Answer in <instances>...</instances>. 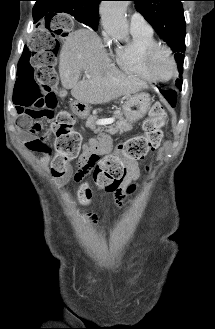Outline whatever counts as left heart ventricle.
<instances>
[{"mask_svg":"<svg viewBox=\"0 0 215 329\" xmlns=\"http://www.w3.org/2000/svg\"><path fill=\"white\" fill-rule=\"evenodd\" d=\"M153 67L157 76L161 78H167L173 71V65L169 58V55L165 51H160L156 54Z\"/></svg>","mask_w":215,"mask_h":329,"instance_id":"obj_1","label":"left heart ventricle"}]
</instances>
